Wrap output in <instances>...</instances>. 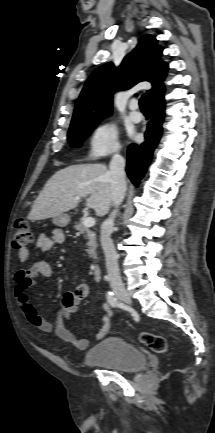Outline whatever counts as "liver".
<instances>
[{"label": "liver", "instance_id": "liver-1", "mask_svg": "<svg viewBox=\"0 0 215 433\" xmlns=\"http://www.w3.org/2000/svg\"><path fill=\"white\" fill-rule=\"evenodd\" d=\"M108 168L101 163L71 165L57 171L34 201L28 219L44 220L74 209L82 197L97 216L106 215L113 203ZM79 197V199H76Z\"/></svg>", "mask_w": 215, "mask_h": 433}]
</instances>
